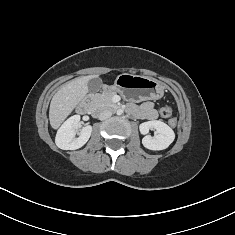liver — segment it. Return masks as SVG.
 <instances>
[{
	"mask_svg": "<svg viewBox=\"0 0 235 235\" xmlns=\"http://www.w3.org/2000/svg\"><path fill=\"white\" fill-rule=\"evenodd\" d=\"M97 77L89 75L75 78L63 85L53 96L49 108V121L53 129H58L63 121L88 93V82Z\"/></svg>",
	"mask_w": 235,
	"mask_h": 235,
	"instance_id": "6515ba94",
	"label": "liver"
}]
</instances>
